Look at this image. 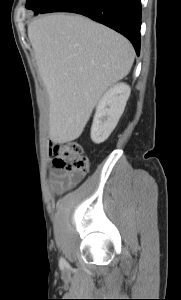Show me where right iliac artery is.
<instances>
[{
    "label": "right iliac artery",
    "instance_id": "right-iliac-artery-1",
    "mask_svg": "<svg viewBox=\"0 0 181 300\" xmlns=\"http://www.w3.org/2000/svg\"><path fill=\"white\" fill-rule=\"evenodd\" d=\"M59 263L61 267H65L67 265V262L64 258H61Z\"/></svg>",
    "mask_w": 181,
    "mask_h": 300
}]
</instances>
